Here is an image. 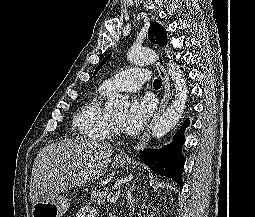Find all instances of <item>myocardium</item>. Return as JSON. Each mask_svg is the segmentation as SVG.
Here are the masks:
<instances>
[{"instance_id": "obj_1", "label": "myocardium", "mask_w": 255, "mask_h": 217, "mask_svg": "<svg viewBox=\"0 0 255 217\" xmlns=\"http://www.w3.org/2000/svg\"><path fill=\"white\" fill-rule=\"evenodd\" d=\"M110 124H111V129H113L114 131L118 130V123L112 118L111 115H110Z\"/></svg>"}]
</instances>
